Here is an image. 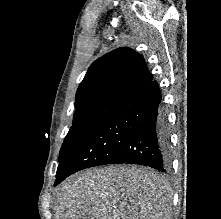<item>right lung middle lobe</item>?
I'll use <instances>...</instances> for the list:
<instances>
[{"label":"right lung middle lobe","instance_id":"right-lung-middle-lobe-1","mask_svg":"<svg viewBox=\"0 0 221 219\" xmlns=\"http://www.w3.org/2000/svg\"><path fill=\"white\" fill-rule=\"evenodd\" d=\"M120 102L117 99H101L75 106L73 124L60 149L58 161L62 162L84 142Z\"/></svg>","mask_w":221,"mask_h":219}]
</instances>
